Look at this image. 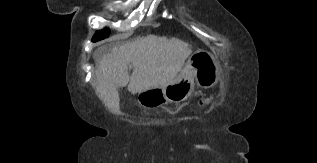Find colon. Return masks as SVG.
I'll return each instance as SVG.
<instances>
[{
	"instance_id": "5ec220e1",
	"label": "colon",
	"mask_w": 317,
	"mask_h": 163,
	"mask_svg": "<svg viewBox=\"0 0 317 163\" xmlns=\"http://www.w3.org/2000/svg\"><path fill=\"white\" fill-rule=\"evenodd\" d=\"M210 100H211V97H206V98H204V99L201 101V104H202V105L208 104V103L210 102Z\"/></svg>"
}]
</instances>
